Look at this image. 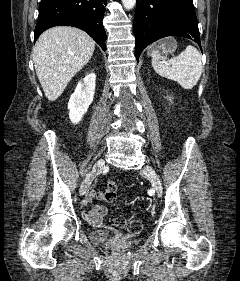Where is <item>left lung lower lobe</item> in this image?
Returning a JSON list of instances; mask_svg holds the SVG:
<instances>
[{
	"mask_svg": "<svg viewBox=\"0 0 240 281\" xmlns=\"http://www.w3.org/2000/svg\"><path fill=\"white\" fill-rule=\"evenodd\" d=\"M133 30L135 56L152 42L167 36H181L200 44L193 0H137Z\"/></svg>",
	"mask_w": 240,
	"mask_h": 281,
	"instance_id": "left-lung-lower-lobe-1",
	"label": "left lung lower lobe"
}]
</instances>
